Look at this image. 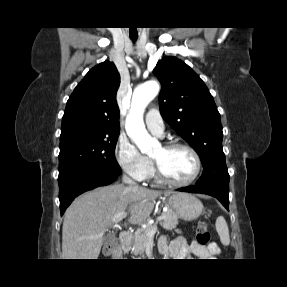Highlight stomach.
Wrapping results in <instances>:
<instances>
[{"label":"stomach","mask_w":287,"mask_h":287,"mask_svg":"<svg viewBox=\"0 0 287 287\" xmlns=\"http://www.w3.org/2000/svg\"><path fill=\"white\" fill-rule=\"evenodd\" d=\"M165 197L169 209L185 221L197 219L203 211L202 202L192 194L173 192Z\"/></svg>","instance_id":"0dacf381"}]
</instances>
